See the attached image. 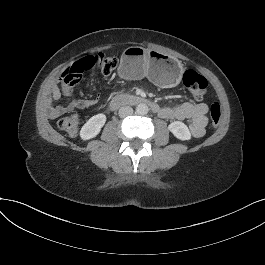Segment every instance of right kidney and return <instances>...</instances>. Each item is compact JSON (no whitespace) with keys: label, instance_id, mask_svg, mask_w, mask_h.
<instances>
[{"label":"right kidney","instance_id":"ca27d5eb","mask_svg":"<svg viewBox=\"0 0 265 265\" xmlns=\"http://www.w3.org/2000/svg\"><path fill=\"white\" fill-rule=\"evenodd\" d=\"M107 120V116L99 113L91 117L79 132L82 141H89L99 135Z\"/></svg>","mask_w":265,"mask_h":265}]
</instances>
